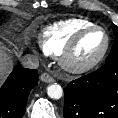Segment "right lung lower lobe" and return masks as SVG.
<instances>
[{
  "mask_svg": "<svg viewBox=\"0 0 118 118\" xmlns=\"http://www.w3.org/2000/svg\"><path fill=\"white\" fill-rule=\"evenodd\" d=\"M37 83V70H14L0 88V118H22L29 92Z\"/></svg>",
  "mask_w": 118,
  "mask_h": 118,
  "instance_id": "right-lung-lower-lobe-1",
  "label": "right lung lower lobe"
}]
</instances>
